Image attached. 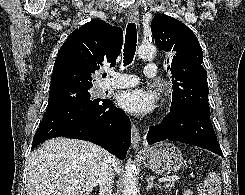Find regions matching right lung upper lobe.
Segmentation results:
<instances>
[{
	"label": "right lung upper lobe",
	"instance_id": "cb5924a9",
	"mask_svg": "<svg viewBox=\"0 0 245 195\" xmlns=\"http://www.w3.org/2000/svg\"><path fill=\"white\" fill-rule=\"evenodd\" d=\"M122 29L92 20L74 30L58 51L49 94L92 87V75L104 64L115 66L121 53Z\"/></svg>",
	"mask_w": 245,
	"mask_h": 195
}]
</instances>
